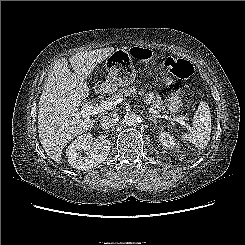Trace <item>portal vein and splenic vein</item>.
Segmentation results:
<instances>
[{"instance_id": "portal-vein-and-splenic-vein-1", "label": "portal vein and splenic vein", "mask_w": 245, "mask_h": 245, "mask_svg": "<svg viewBox=\"0 0 245 245\" xmlns=\"http://www.w3.org/2000/svg\"><path fill=\"white\" fill-rule=\"evenodd\" d=\"M122 101H123L122 98H119L117 100H106L100 103L99 105H95V106H93L89 101L88 103L85 104V107L80 111V113H77L76 115L82 116L83 118H88L90 115H95L104 112L106 110H111ZM149 112L153 114H159V112L153 108H149ZM172 120L178 122L182 126L188 127L187 123L182 118L174 117L172 118Z\"/></svg>"}]
</instances>
